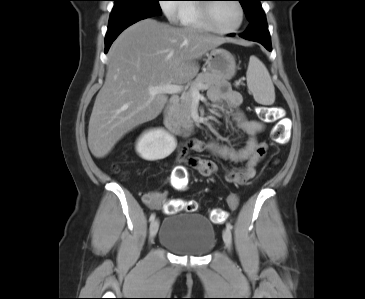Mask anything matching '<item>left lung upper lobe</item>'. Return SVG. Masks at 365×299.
Segmentation results:
<instances>
[{"instance_id": "1", "label": "left lung upper lobe", "mask_w": 365, "mask_h": 299, "mask_svg": "<svg viewBox=\"0 0 365 299\" xmlns=\"http://www.w3.org/2000/svg\"><path fill=\"white\" fill-rule=\"evenodd\" d=\"M246 14L248 21L251 23L258 19L259 17L264 16V11L262 10L260 1L262 0H238Z\"/></svg>"}]
</instances>
